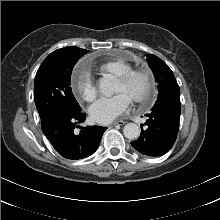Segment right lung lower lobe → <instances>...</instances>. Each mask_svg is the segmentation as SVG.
<instances>
[{"label": "right lung lower lobe", "instance_id": "1", "mask_svg": "<svg viewBox=\"0 0 220 220\" xmlns=\"http://www.w3.org/2000/svg\"><path fill=\"white\" fill-rule=\"evenodd\" d=\"M85 113L61 114L42 124L43 132L63 157L70 159L85 158L98 148L103 132L102 126L85 127L80 134H74V129L85 120Z\"/></svg>", "mask_w": 220, "mask_h": 220}]
</instances>
